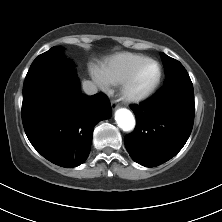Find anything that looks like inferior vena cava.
<instances>
[{"label":"inferior vena cava","mask_w":222,"mask_h":222,"mask_svg":"<svg viewBox=\"0 0 222 222\" xmlns=\"http://www.w3.org/2000/svg\"><path fill=\"white\" fill-rule=\"evenodd\" d=\"M82 87L87 95H94L98 92L97 86L91 81H84Z\"/></svg>","instance_id":"1"}]
</instances>
